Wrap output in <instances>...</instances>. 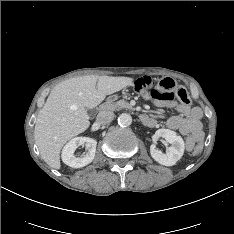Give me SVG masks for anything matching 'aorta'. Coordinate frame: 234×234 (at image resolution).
<instances>
[{
    "instance_id": "aorta-1",
    "label": "aorta",
    "mask_w": 234,
    "mask_h": 234,
    "mask_svg": "<svg viewBox=\"0 0 234 234\" xmlns=\"http://www.w3.org/2000/svg\"><path fill=\"white\" fill-rule=\"evenodd\" d=\"M132 123V117L128 113H122L118 117V124L122 127H128Z\"/></svg>"
}]
</instances>
